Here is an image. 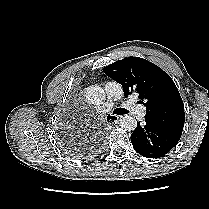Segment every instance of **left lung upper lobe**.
<instances>
[{
  "label": "left lung upper lobe",
  "instance_id": "5c2ea615",
  "mask_svg": "<svg viewBox=\"0 0 209 209\" xmlns=\"http://www.w3.org/2000/svg\"><path fill=\"white\" fill-rule=\"evenodd\" d=\"M104 73L122 85L124 95L137 93L146 106V115L163 125L184 127V105L171 79L157 65L139 57H127L103 68Z\"/></svg>",
  "mask_w": 209,
  "mask_h": 209
}]
</instances>
